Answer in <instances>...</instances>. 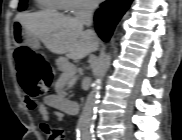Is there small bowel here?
I'll use <instances>...</instances> for the list:
<instances>
[{"label": "small bowel", "mask_w": 182, "mask_h": 140, "mask_svg": "<svg viewBox=\"0 0 182 140\" xmlns=\"http://www.w3.org/2000/svg\"><path fill=\"white\" fill-rule=\"evenodd\" d=\"M29 110L37 109L42 122L40 123V130L46 135L47 140H63L62 131L58 128H52L49 124L51 114L48 107L43 103L33 104L29 100H25Z\"/></svg>", "instance_id": "1"}]
</instances>
